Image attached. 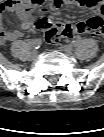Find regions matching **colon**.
Segmentation results:
<instances>
[{"mask_svg": "<svg viewBox=\"0 0 104 137\" xmlns=\"http://www.w3.org/2000/svg\"><path fill=\"white\" fill-rule=\"evenodd\" d=\"M37 28L43 30V37L47 43L58 44L64 37H71L77 31L69 26H57L53 24H46L45 20H40L37 23ZM84 32H89L93 36H98L103 33V20L101 17H92L87 23V27L83 29ZM4 38V33L2 34Z\"/></svg>", "mask_w": 104, "mask_h": 137, "instance_id": "5ec220e1", "label": "colon"}]
</instances>
